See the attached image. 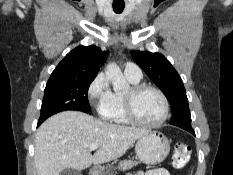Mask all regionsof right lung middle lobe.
<instances>
[{"mask_svg": "<svg viewBox=\"0 0 233 175\" xmlns=\"http://www.w3.org/2000/svg\"><path fill=\"white\" fill-rule=\"evenodd\" d=\"M93 80L94 77L48 80L39 120L44 121L51 115L66 110L91 114L88 89Z\"/></svg>", "mask_w": 233, "mask_h": 175, "instance_id": "obj_1", "label": "right lung middle lobe"}]
</instances>
